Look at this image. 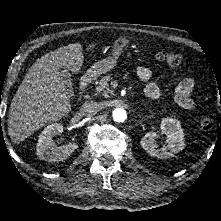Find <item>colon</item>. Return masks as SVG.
Listing matches in <instances>:
<instances>
[{
    "instance_id": "1",
    "label": "colon",
    "mask_w": 221,
    "mask_h": 221,
    "mask_svg": "<svg viewBox=\"0 0 221 221\" xmlns=\"http://www.w3.org/2000/svg\"><path fill=\"white\" fill-rule=\"evenodd\" d=\"M156 60L163 62L169 66H179L182 63V56L179 53L168 51H160L155 55ZM200 127L204 130H209L213 126V122L209 118H202L199 122Z\"/></svg>"
}]
</instances>
